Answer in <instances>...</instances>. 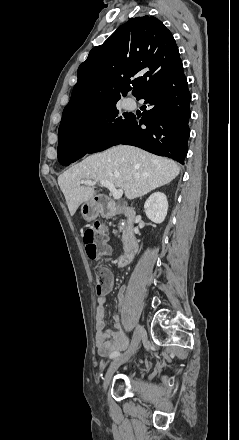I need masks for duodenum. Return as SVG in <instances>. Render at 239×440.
Returning <instances> with one entry per match:
<instances>
[{
    "label": "duodenum",
    "instance_id": "duodenum-1",
    "mask_svg": "<svg viewBox=\"0 0 239 440\" xmlns=\"http://www.w3.org/2000/svg\"><path fill=\"white\" fill-rule=\"evenodd\" d=\"M96 206L99 212L106 216L124 215L127 222L122 229L123 255L120 256L118 263L120 266L127 265L138 251V240L134 233V222L136 213L129 206L121 205L107 196H100L96 199Z\"/></svg>",
    "mask_w": 239,
    "mask_h": 440
}]
</instances>
